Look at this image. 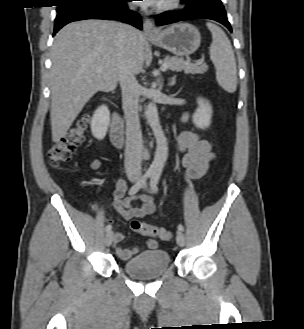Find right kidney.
<instances>
[{"label":"right kidney","instance_id":"obj_1","mask_svg":"<svg viewBox=\"0 0 304 329\" xmlns=\"http://www.w3.org/2000/svg\"><path fill=\"white\" fill-rule=\"evenodd\" d=\"M109 121L110 112L108 107L105 105L99 106L91 120V132L96 139L102 140L106 136Z\"/></svg>","mask_w":304,"mask_h":329}]
</instances>
